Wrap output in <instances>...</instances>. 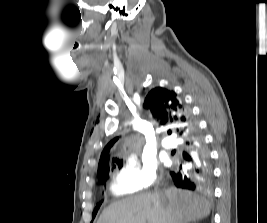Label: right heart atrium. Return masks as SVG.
Returning <instances> with one entry per match:
<instances>
[{"mask_svg":"<svg viewBox=\"0 0 267 223\" xmlns=\"http://www.w3.org/2000/svg\"><path fill=\"white\" fill-rule=\"evenodd\" d=\"M158 181L156 166L148 161H128L116 170L111 190L116 195L144 192Z\"/></svg>","mask_w":267,"mask_h":223,"instance_id":"d8ad5b80","label":"right heart atrium"}]
</instances>
